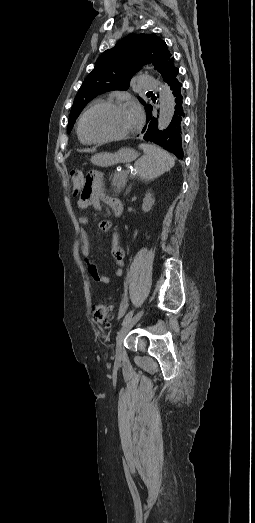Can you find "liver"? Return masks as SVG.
Here are the masks:
<instances>
[{"mask_svg": "<svg viewBox=\"0 0 255 523\" xmlns=\"http://www.w3.org/2000/svg\"><path fill=\"white\" fill-rule=\"evenodd\" d=\"M109 154H95V156H92L91 162L92 164H96V166H102V162H105L107 160ZM111 160H114L115 154H110Z\"/></svg>", "mask_w": 255, "mask_h": 523, "instance_id": "1", "label": "liver"}]
</instances>
